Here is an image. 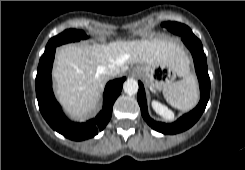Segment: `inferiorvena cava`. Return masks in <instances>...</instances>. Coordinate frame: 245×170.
<instances>
[{"label":"inferior vena cava","instance_id":"obj_1","mask_svg":"<svg viewBox=\"0 0 245 170\" xmlns=\"http://www.w3.org/2000/svg\"><path fill=\"white\" fill-rule=\"evenodd\" d=\"M103 72L108 76L114 77L119 74L120 70L116 65L110 64L106 68H104Z\"/></svg>","mask_w":245,"mask_h":170}]
</instances>
